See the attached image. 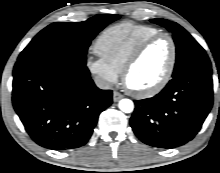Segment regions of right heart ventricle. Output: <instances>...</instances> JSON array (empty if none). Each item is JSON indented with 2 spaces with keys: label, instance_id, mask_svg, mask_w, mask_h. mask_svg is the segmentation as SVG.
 Wrapping results in <instances>:
<instances>
[{
  "label": "right heart ventricle",
  "instance_id": "obj_1",
  "mask_svg": "<svg viewBox=\"0 0 220 173\" xmlns=\"http://www.w3.org/2000/svg\"><path fill=\"white\" fill-rule=\"evenodd\" d=\"M155 27L124 22L105 29L97 38L98 55L119 73L137 45L158 33Z\"/></svg>",
  "mask_w": 220,
  "mask_h": 173
}]
</instances>
